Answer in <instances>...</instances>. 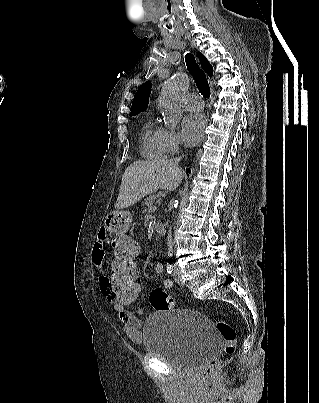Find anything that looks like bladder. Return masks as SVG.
Instances as JSON below:
<instances>
[{"mask_svg":"<svg viewBox=\"0 0 319 403\" xmlns=\"http://www.w3.org/2000/svg\"><path fill=\"white\" fill-rule=\"evenodd\" d=\"M143 341L148 353L184 372L203 366L221 345L212 322L194 310L151 313L144 324Z\"/></svg>","mask_w":319,"mask_h":403,"instance_id":"1","label":"bladder"}]
</instances>
